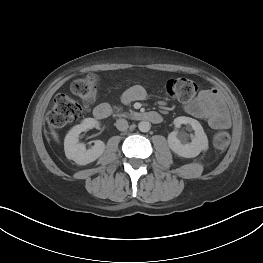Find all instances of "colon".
Here are the masks:
<instances>
[{"mask_svg": "<svg viewBox=\"0 0 263 263\" xmlns=\"http://www.w3.org/2000/svg\"><path fill=\"white\" fill-rule=\"evenodd\" d=\"M97 85V77L89 75L74 81L71 85V92L88 105L93 103L97 97ZM198 89L195 81L183 77L170 79L166 83L167 95L184 103L191 101ZM83 112L84 108L77 100L67 94H59L54 98L48 114V122L53 128H62L79 119ZM212 142L215 149L222 151L229 145L230 136L228 132L220 130L214 133Z\"/></svg>", "mask_w": 263, "mask_h": 263, "instance_id": "obj_1", "label": "colon"}]
</instances>
